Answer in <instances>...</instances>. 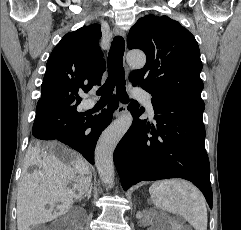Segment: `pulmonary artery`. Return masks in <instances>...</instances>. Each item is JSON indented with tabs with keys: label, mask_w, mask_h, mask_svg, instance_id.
<instances>
[{
	"label": "pulmonary artery",
	"mask_w": 241,
	"mask_h": 230,
	"mask_svg": "<svg viewBox=\"0 0 241 230\" xmlns=\"http://www.w3.org/2000/svg\"><path fill=\"white\" fill-rule=\"evenodd\" d=\"M135 95L141 102L144 103V105L146 106L150 116L153 117L154 116V110H153L151 95L149 93L141 90V89H136ZM94 105H95V102L93 100H87L84 103L85 108H92Z\"/></svg>",
	"instance_id": "obj_1"
}]
</instances>
